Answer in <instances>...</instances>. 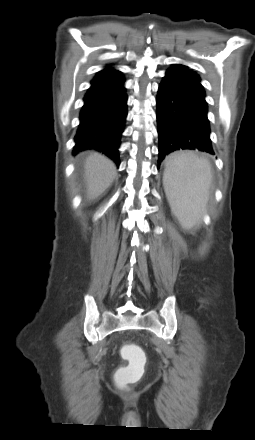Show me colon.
<instances>
[{
	"label": "colon",
	"instance_id": "colon-1",
	"mask_svg": "<svg viewBox=\"0 0 255 440\" xmlns=\"http://www.w3.org/2000/svg\"><path fill=\"white\" fill-rule=\"evenodd\" d=\"M121 355L129 364L119 372L118 383L126 385L138 380L142 375L144 356L141 349L134 344L124 345Z\"/></svg>",
	"mask_w": 255,
	"mask_h": 440
}]
</instances>
